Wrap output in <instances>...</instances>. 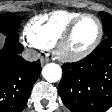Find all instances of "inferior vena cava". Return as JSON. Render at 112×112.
Returning a JSON list of instances; mask_svg holds the SVG:
<instances>
[{
    "label": "inferior vena cava",
    "mask_w": 112,
    "mask_h": 112,
    "mask_svg": "<svg viewBox=\"0 0 112 112\" xmlns=\"http://www.w3.org/2000/svg\"><path fill=\"white\" fill-rule=\"evenodd\" d=\"M22 57L27 61H36L40 58V54L34 50H25Z\"/></svg>",
    "instance_id": "1"
}]
</instances>
